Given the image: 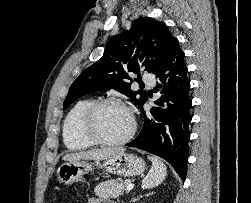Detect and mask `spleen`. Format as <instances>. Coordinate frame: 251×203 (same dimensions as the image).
I'll use <instances>...</instances> for the list:
<instances>
[{
	"label": "spleen",
	"mask_w": 251,
	"mask_h": 203,
	"mask_svg": "<svg viewBox=\"0 0 251 203\" xmlns=\"http://www.w3.org/2000/svg\"><path fill=\"white\" fill-rule=\"evenodd\" d=\"M148 159L152 162V167L142 181L143 189L158 186L163 182L167 175V167L159 158L155 156H148Z\"/></svg>",
	"instance_id": "1"
}]
</instances>
